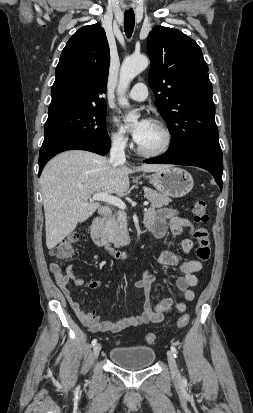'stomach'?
I'll list each match as a JSON object with an SVG mask.
<instances>
[{
  "label": "stomach",
  "instance_id": "0dacf381",
  "mask_svg": "<svg viewBox=\"0 0 253 413\" xmlns=\"http://www.w3.org/2000/svg\"><path fill=\"white\" fill-rule=\"evenodd\" d=\"M146 178L161 193L174 198L187 195L194 186L193 178L189 172L172 165L148 175Z\"/></svg>",
  "mask_w": 253,
  "mask_h": 413
}]
</instances>
